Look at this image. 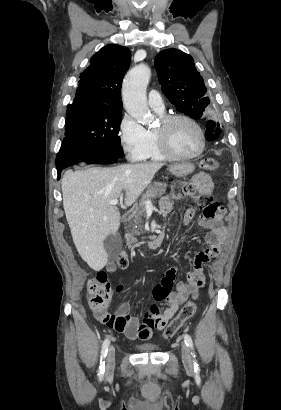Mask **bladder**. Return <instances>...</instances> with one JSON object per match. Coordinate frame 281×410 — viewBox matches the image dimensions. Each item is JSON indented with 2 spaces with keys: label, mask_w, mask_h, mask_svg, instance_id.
<instances>
[{
  "label": "bladder",
  "mask_w": 281,
  "mask_h": 410,
  "mask_svg": "<svg viewBox=\"0 0 281 410\" xmlns=\"http://www.w3.org/2000/svg\"><path fill=\"white\" fill-rule=\"evenodd\" d=\"M135 349L141 353H151L159 349V346L154 343L138 344Z\"/></svg>",
  "instance_id": "bladder-1"
}]
</instances>
